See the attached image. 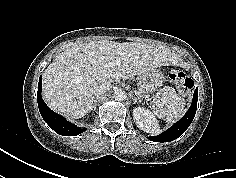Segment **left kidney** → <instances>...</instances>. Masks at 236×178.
<instances>
[{"instance_id": "left-kidney-1", "label": "left kidney", "mask_w": 236, "mask_h": 178, "mask_svg": "<svg viewBox=\"0 0 236 178\" xmlns=\"http://www.w3.org/2000/svg\"><path fill=\"white\" fill-rule=\"evenodd\" d=\"M133 119L137 127L147 133L158 134L160 132L155 116L146 108L135 107L133 109Z\"/></svg>"}]
</instances>
